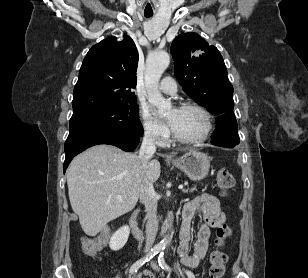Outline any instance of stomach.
<instances>
[{"label":"stomach","mask_w":308,"mask_h":278,"mask_svg":"<svg viewBox=\"0 0 308 278\" xmlns=\"http://www.w3.org/2000/svg\"><path fill=\"white\" fill-rule=\"evenodd\" d=\"M172 164L191 180L200 181L208 175L210 158L205 153L190 150L180 158L172 160Z\"/></svg>","instance_id":"obj_1"}]
</instances>
